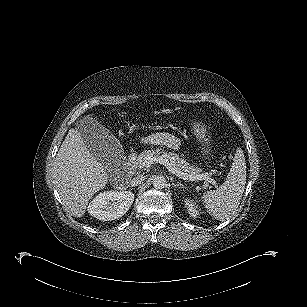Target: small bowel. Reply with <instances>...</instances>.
<instances>
[{"label": "small bowel", "instance_id": "obj_1", "mask_svg": "<svg viewBox=\"0 0 307 307\" xmlns=\"http://www.w3.org/2000/svg\"><path fill=\"white\" fill-rule=\"evenodd\" d=\"M160 143L171 148L177 150L180 146L179 140L171 134L162 133L159 137Z\"/></svg>", "mask_w": 307, "mask_h": 307}]
</instances>
